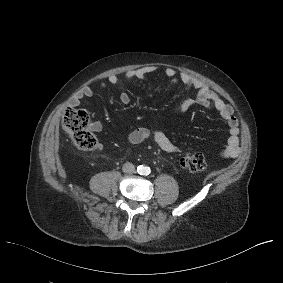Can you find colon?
<instances>
[{"label": "colon", "mask_w": 283, "mask_h": 283, "mask_svg": "<svg viewBox=\"0 0 283 283\" xmlns=\"http://www.w3.org/2000/svg\"><path fill=\"white\" fill-rule=\"evenodd\" d=\"M63 127L69 134L74 144L82 150H92L96 147V139L88 130V114L74 107H68L63 114ZM181 167L189 172L196 173L203 171L207 167L203 154L190 152L180 159Z\"/></svg>", "instance_id": "5ec220e1"}]
</instances>
